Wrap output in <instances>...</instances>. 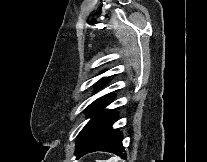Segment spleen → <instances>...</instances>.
<instances>
[{
  "label": "spleen",
  "instance_id": "3e777b00",
  "mask_svg": "<svg viewBox=\"0 0 207 162\" xmlns=\"http://www.w3.org/2000/svg\"><path fill=\"white\" fill-rule=\"evenodd\" d=\"M119 160V157H112L109 160H97L96 162H118Z\"/></svg>",
  "mask_w": 207,
  "mask_h": 162
}]
</instances>
